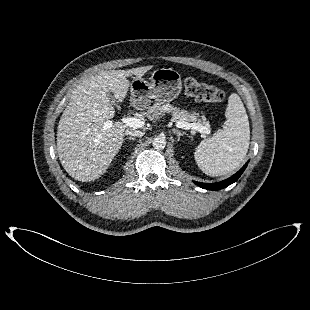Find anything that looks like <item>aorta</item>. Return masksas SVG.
Masks as SVG:
<instances>
[{
  "instance_id": "obj_1",
  "label": "aorta",
  "mask_w": 310,
  "mask_h": 310,
  "mask_svg": "<svg viewBox=\"0 0 310 310\" xmlns=\"http://www.w3.org/2000/svg\"><path fill=\"white\" fill-rule=\"evenodd\" d=\"M153 147L157 150H162L166 146V139L163 136H157L153 139Z\"/></svg>"
}]
</instances>
